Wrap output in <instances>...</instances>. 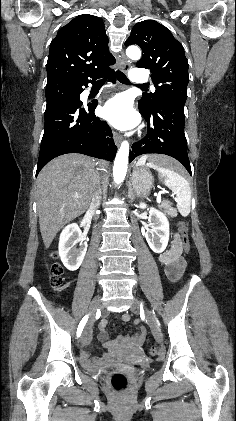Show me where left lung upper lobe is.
Instances as JSON below:
<instances>
[{
    "label": "left lung upper lobe",
    "mask_w": 236,
    "mask_h": 421,
    "mask_svg": "<svg viewBox=\"0 0 236 421\" xmlns=\"http://www.w3.org/2000/svg\"><path fill=\"white\" fill-rule=\"evenodd\" d=\"M139 45L143 51L137 62L139 68L150 69L156 87L154 93L143 95L139 100L140 109L153 110L168 97L186 101L188 62L182 45L170 31L154 20L137 23L126 40L125 45Z\"/></svg>",
    "instance_id": "1"
}]
</instances>
